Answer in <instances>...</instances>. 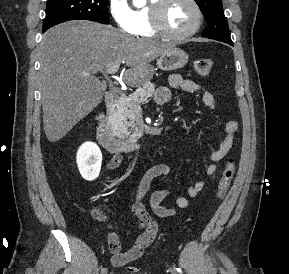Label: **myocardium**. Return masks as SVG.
<instances>
[{
	"label": "myocardium",
	"mask_w": 289,
	"mask_h": 274,
	"mask_svg": "<svg viewBox=\"0 0 289 274\" xmlns=\"http://www.w3.org/2000/svg\"><path fill=\"white\" fill-rule=\"evenodd\" d=\"M195 9L196 12V23L188 31L182 33H175L170 31L165 24V12L167 6L172 0H155L150 8V19L153 30L160 36L172 39V40H183L195 35L201 28L203 23V11L197 0H188Z\"/></svg>",
	"instance_id": "myocardium-1"
}]
</instances>
